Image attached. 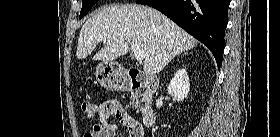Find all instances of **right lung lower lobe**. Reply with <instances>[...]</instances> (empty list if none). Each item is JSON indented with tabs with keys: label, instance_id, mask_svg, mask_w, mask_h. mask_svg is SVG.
Instances as JSON below:
<instances>
[{
	"label": "right lung lower lobe",
	"instance_id": "98d812e1",
	"mask_svg": "<svg viewBox=\"0 0 280 137\" xmlns=\"http://www.w3.org/2000/svg\"><path fill=\"white\" fill-rule=\"evenodd\" d=\"M149 5L205 44L222 64L229 0H137Z\"/></svg>",
	"mask_w": 280,
	"mask_h": 137
}]
</instances>
